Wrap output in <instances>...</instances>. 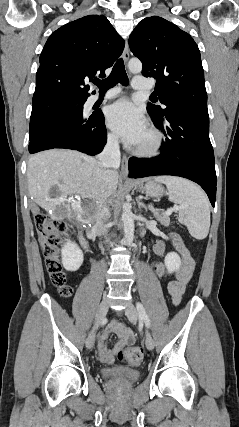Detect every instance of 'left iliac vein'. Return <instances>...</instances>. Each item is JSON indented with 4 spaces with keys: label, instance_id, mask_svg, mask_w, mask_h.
<instances>
[{
    "label": "left iliac vein",
    "instance_id": "left-iliac-vein-1",
    "mask_svg": "<svg viewBox=\"0 0 239 427\" xmlns=\"http://www.w3.org/2000/svg\"><path fill=\"white\" fill-rule=\"evenodd\" d=\"M125 314L131 323H135L138 319V312L132 303H129L125 308ZM145 344L148 350H152L154 348V340L149 332L146 334Z\"/></svg>",
    "mask_w": 239,
    "mask_h": 427
}]
</instances>
